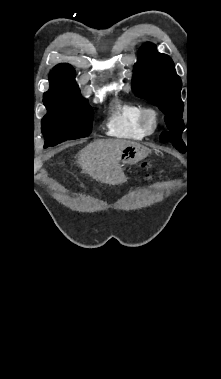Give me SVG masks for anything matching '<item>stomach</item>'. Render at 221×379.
Wrapping results in <instances>:
<instances>
[{"label":"stomach","mask_w":221,"mask_h":379,"mask_svg":"<svg viewBox=\"0 0 221 379\" xmlns=\"http://www.w3.org/2000/svg\"><path fill=\"white\" fill-rule=\"evenodd\" d=\"M148 155V150L140 145L132 144L127 146L121 153V166L137 164Z\"/></svg>","instance_id":"obj_1"}]
</instances>
